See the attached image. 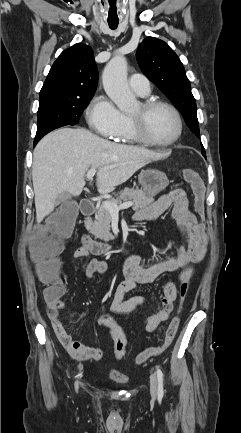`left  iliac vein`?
<instances>
[{
  "label": "left iliac vein",
  "instance_id": "4c4485c4",
  "mask_svg": "<svg viewBox=\"0 0 241 433\" xmlns=\"http://www.w3.org/2000/svg\"><path fill=\"white\" fill-rule=\"evenodd\" d=\"M150 393L152 398L157 397V378L155 374H152L150 377Z\"/></svg>",
  "mask_w": 241,
  "mask_h": 433
}]
</instances>
